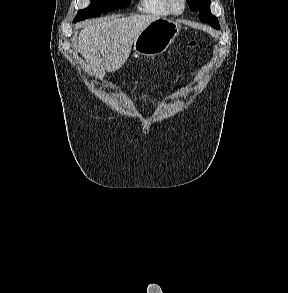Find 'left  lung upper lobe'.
Masks as SVG:
<instances>
[{"label": "left lung upper lobe", "mask_w": 288, "mask_h": 293, "mask_svg": "<svg viewBox=\"0 0 288 293\" xmlns=\"http://www.w3.org/2000/svg\"><path fill=\"white\" fill-rule=\"evenodd\" d=\"M193 12H199L201 22L210 24L215 29H220L218 18L211 14V0H187Z\"/></svg>", "instance_id": "1"}]
</instances>
